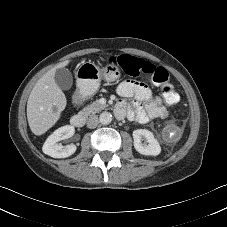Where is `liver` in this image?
I'll list each match as a JSON object with an SVG mask.
<instances>
[{
  "label": "liver",
  "mask_w": 227,
  "mask_h": 227,
  "mask_svg": "<svg viewBox=\"0 0 227 227\" xmlns=\"http://www.w3.org/2000/svg\"><path fill=\"white\" fill-rule=\"evenodd\" d=\"M70 63L66 60L47 71L33 87L27 102V119L35 135L48 131L60 118L67 100L61 88L55 82L57 69Z\"/></svg>",
  "instance_id": "obj_1"
}]
</instances>
